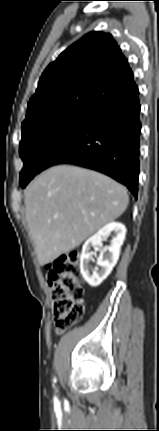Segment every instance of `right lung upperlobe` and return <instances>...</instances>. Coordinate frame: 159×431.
<instances>
[{"label": "right lung upper lobe", "instance_id": "cb5924a9", "mask_svg": "<svg viewBox=\"0 0 159 431\" xmlns=\"http://www.w3.org/2000/svg\"><path fill=\"white\" fill-rule=\"evenodd\" d=\"M136 89L127 59L112 35L94 31L48 65L22 126L58 112L89 116Z\"/></svg>", "mask_w": 159, "mask_h": 431}]
</instances>
